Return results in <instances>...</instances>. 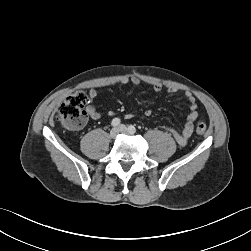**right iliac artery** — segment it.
I'll return each mask as SVG.
<instances>
[{
	"label": "right iliac artery",
	"instance_id": "right-iliac-artery-1",
	"mask_svg": "<svg viewBox=\"0 0 251 251\" xmlns=\"http://www.w3.org/2000/svg\"><path fill=\"white\" fill-rule=\"evenodd\" d=\"M120 124V119L119 118H114L113 120H112V122H111V125L113 126V127H116V126H118Z\"/></svg>",
	"mask_w": 251,
	"mask_h": 251
}]
</instances>
